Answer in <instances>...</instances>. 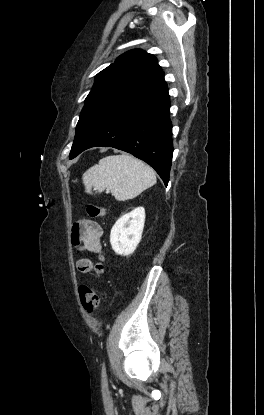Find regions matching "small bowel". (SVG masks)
<instances>
[{
	"label": "small bowel",
	"mask_w": 264,
	"mask_h": 415,
	"mask_svg": "<svg viewBox=\"0 0 264 415\" xmlns=\"http://www.w3.org/2000/svg\"><path fill=\"white\" fill-rule=\"evenodd\" d=\"M103 230L100 224L93 220L82 219L74 224L71 234L72 241L80 244L81 250L97 255L104 260L102 253L101 238Z\"/></svg>",
	"instance_id": "small-bowel-1"
}]
</instances>
